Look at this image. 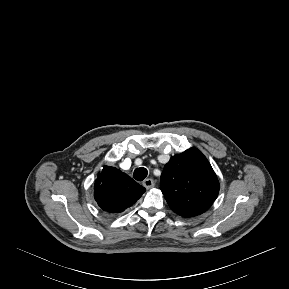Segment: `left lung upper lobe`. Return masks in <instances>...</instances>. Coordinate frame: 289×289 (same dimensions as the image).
<instances>
[{
  "label": "left lung upper lobe",
  "instance_id": "left-lung-upper-lobe-1",
  "mask_svg": "<svg viewBox=\"0 0 289 289\" xmlns=\"http://www.w3.org/2000/svg\"><path fill=\"white\" fill-rule=\"evenodd\" d=\"M160 189L175 213L193 217L212 205L219 182L206 157L192 147L171 157L161 174Z\"/></svg>",
  "mask_w": 289,
  "mask_h": 289
}]
</instances>
